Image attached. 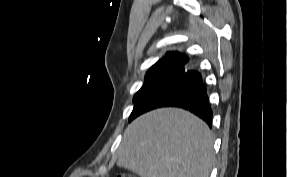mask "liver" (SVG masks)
<instances>
[{
    "label": "liver",
    "instance_id": "liver-1",
    "mask_svg": "<svg viewBox=\"0 0 287 177\" xmlns=\"http://www.w3.org/2000/svg\"><path fill=\"white\" fill-rule=\"evenodd\" d=\"M213 142L207 124L192 113L160 108L128 125L117 165L140 177H209Z\"/></svg>",
    "mask_w": 287,
    "mask_h": 177
}]
</instances>
